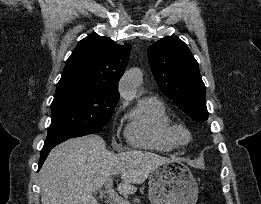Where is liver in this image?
<instances>
[{"label": "liver", "mask_w": 261, "mask_h": 204, "mask_svg": "<svg viewBox=\"0 0 261 204\" xmlns=\"http://www.w3.org/2000/svg\"><path fill=\"white\" fill-rule=\"evenodd\" d=\"M166 157L139 150L114 153L99 135L69 139L55 147L40 171L42 204H99L93 193L120 173L118 191L136 192Z\"/></svg>", "instance_id": "6515ba94"}]
</instances>
